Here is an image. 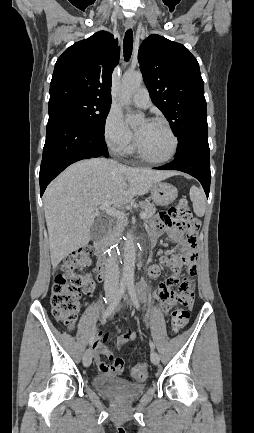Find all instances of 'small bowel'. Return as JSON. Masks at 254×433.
<instances>
[{"label":"small bowel","mask_w":254,"mask_h":433,"mask_svg":"<svg viewBox=\"0 0 254 433\" xmlns=\"http://www.w3.org/2000/svg\"><path fill=\"white\" fill-rule=\"evenodd\" d=\"M163 230H167L172 238L177 240L182 251L172 257L162 256L160 262L162 265L168 267L173 276L160 283L154 292V299L157 304L164 310L168 311L180 297H187L193 300L194 297V277L197 273L196 258L192 251V244L189 240H184L182 233L175 227L164 225L159 219V216L152 220L149 235L151 239L157 237ZM185 266L187 270V278L182 281L178 276ZM161 266L153 264L150 266L148 274L152 278H156L161 274ZM178 286V293L173 291V286ZM115 336L118 340L119 347H123L128 341L137 339L138 334L131 330H126L124 333H111V332H98L93 339L94 360L99 371L108 377H116L122 374L124 370V361L116 357L111 349L106 345V341Z\"/></svg>","instance_id":"1"}]
</instances>
